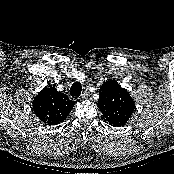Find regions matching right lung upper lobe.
<instances>
[{
    "mask_svg": "<svg viewBox=\"0 0 174 174\" xmlns=\"http://www.w3.org/2000/svg\"><path fill=\"white\" fill-rule=\"evenodd\" d=\"M74 104V101L58 92L55 87H48L34 98L32 109L46 125H57L67 118Z\"/></svg>",
    "mask_w": 174,
    "mask_h": 174,
    "instance_id": "cb5924a9",
    "label": "right lung upper lobe"
}]
</instances>
